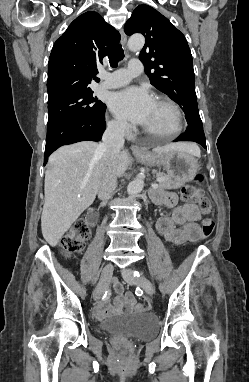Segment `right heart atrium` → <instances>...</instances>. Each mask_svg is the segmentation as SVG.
Here are the masks:
<instances>
[{
	"instance_id": "right-heart-atrium-1",
	"label": "right heart atrium",
	"mask_w": 249,
	"mask_h": 382,
	"mask_svg": "<svg viewBox=\"0 0 249 382\" xmlns=\"http://www.w3.org/2000/svg\"><path fill=\"white\" fill-rule=\"evenodd\" d=\"M108 126L112 132L119 135H126L130 130L129 124L125 120L119 118L110 120Z\"/></svg>"
}]
</instances>
